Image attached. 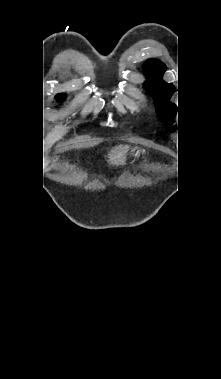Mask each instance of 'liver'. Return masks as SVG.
I'll list each match as a JSON object with an SVG mask.
<instances>
[{"label":"liver","instance_id":"liver-1","mask_svg":"<svg viewBox=\"0 0 221 379\" xmlns=\"http://www.w3.org/2000/svg\"><path fill=\"white\" fill-rule=\"evenodd\" d=\"M128 149L129 147L127 145H119L114 147L109 153V162L113 165L123 164Z\"/></svg>","mask_w":221,"mask_h":379}]
</instances>
